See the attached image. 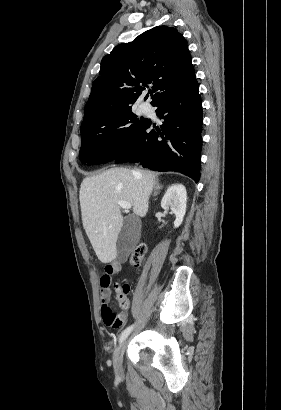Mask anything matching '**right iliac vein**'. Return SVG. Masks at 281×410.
I'll use <instances>...</instances> for the list:
<instances>
[{"instance_id":"1","label":"right iliac vein","mask_w":281,"mask_h":410,"mask_svg":"<svg viewBox=\"0 0 281 410\" xmlns=\"http://www.w3.org/2000/svg\"><path fill=\"white\" fill-rule=\"evenodd\" d=\"M127 345V341L123 340L118 348L116 349L114 356H113V365L117 375H121L123 373L122 368V361H123V354Z\"/></svg>"}]
</instances>
